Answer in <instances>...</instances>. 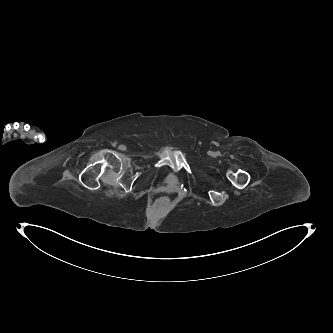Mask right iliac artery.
<instances>
[{
    "instance_id": "1",
    "label": "right iliac artery",
    "mask_w": 333,
    "mask_h": 333,
    "mask_svg": "<svg viewBox=\"0 0 333 333\" xmlns=\"http://www.w3.org/2000/svg\"><path fill=\"white\" fill-rule=\"evenodd\" d=\"M119 149L122 150V151H125L126 150V146L125 145H120Z\"/></svg>"
}]
</instances>
